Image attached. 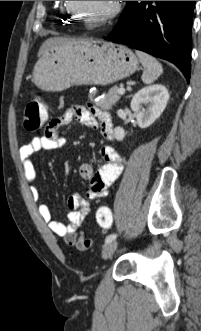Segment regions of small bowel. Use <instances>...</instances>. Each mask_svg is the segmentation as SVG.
I'll list each match as a JSON object with an SVG mask.
<instances>
[{
  "label": "small bowel",
  "instance_id": "c3829d8e",
  "mask_svg": "<svg viewBox=\"0 0 201 331\" xmlns=\"http://www.w3.org/2000/svg\"><path fill=\"white\" fill-rule=\"evenodd\" d=\"M76 120L92 129H99L104 138L111 140L113 137V124L108 112L99 110L93 106L74 105L69 107L60 117L52 119L45 127L43 134L31 139L20 147L19 155L21 165L27 181L30 183V191L35 201H40L41 192L35 185L36 170L32 156L41 151L60 149L65 141L60 133V128ZM103 164L94 172L90 164L84 163L79 167V174L89 181V187L85 197L73 194L67 200V223L53 219L48 205L41 203L39 213L48 224L50 230L62 237L69 246H76V242L83 236L79 233L86 215L90 211L89 200L101 198L106 195L109 186L119 177L123 166L120 155L110 146L105 145L100 149Z\"/></svg>",
  "mask_w": 201,
  "mask_h": 331
}]
</instances>
